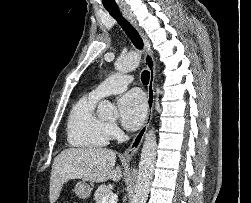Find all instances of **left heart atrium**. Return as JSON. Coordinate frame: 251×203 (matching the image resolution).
I'll return each mask as SVG.
<instances>
[{"label": "left heart atrium", "mask_w": 251, "mask_h": 203, "mask_svg": "<svg viewBox=\"0 0 251 203\" xmlns=\"http://www.w3.org/2000/svg\"><path fill=\"white\" fill-rule=\"evenodd\" d=\"M120 120L129 130L139 128L146 119L147 103L144 95L139 91H130L118 100Z\"/></svg>", "instance_id": "39dd6f15"}]
</instances>
